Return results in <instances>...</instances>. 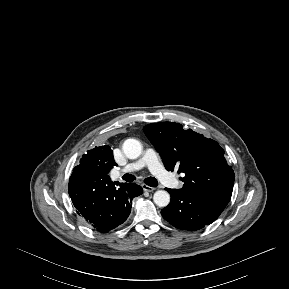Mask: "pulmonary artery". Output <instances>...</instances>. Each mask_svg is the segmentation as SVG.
I'll return each mask as SVG.
<instances>
[{
    "mask_svg": "<svg viewBox=\"0 0 289 289\" xmlns=\"http://www.w3.org/2000/svg\"><path fill=\"white\" fill-rule=\"evenodd\" d=\"M147 167L150 172L164 184H169L170 176L162 166L156 152L153 149H147L143 156L136 162L130 163L121 169L122 172H134Z\"/></svg>",
    "mask_w": 289,
    "mask_h": 289,
    "instance_id": "e3ab8cb5",
    "label": "pulmonary artery"
}]
</instances>
